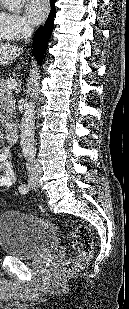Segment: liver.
Here are the masks:
<instances>
[{
    "label": "liver",
    "mask_w": 129,
    "mask_h": 309,
    "mask_svg": "<svg viewBox=\"0 0 129 309\" xmlns=\"http://www.w3.org/2000/svg\"><path fill=\"white\" fill-rule=\"evenodd\" d=\"M22 52L23 49L15 44L0 42V66L8 65ZM23 64L26 65L27 63L23 62ZM15 69H21V66H17Z\"/></svg>",
    "instance_id": "1"
}]
</instances>
